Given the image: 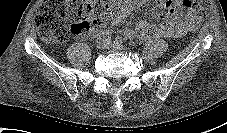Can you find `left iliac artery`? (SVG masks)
<instances>
[{
  "instance_id": "obj_1",
  "label": "left iliac artery",
  "mask_w": 227,
  "mask_h": 133,
  "mask_svg": "<svg viewBox=\"0 0 227 133\" xmlns=\"http://www.w3.org/2000/svg\"><path fill=\"white\" fill-rule=\"evenodd\" d=\"M123 43V40L121 37L117 36L115 39H114V44L116 45H122Z\"/></svg>"
}]
</instances>
